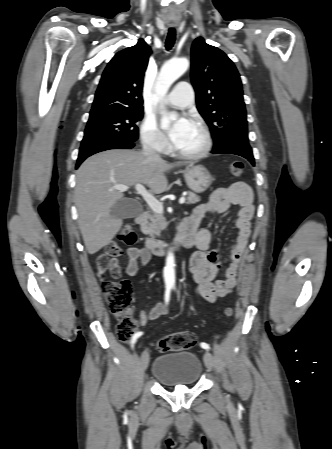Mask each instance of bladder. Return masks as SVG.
<instances>
[{"instance_id":"1","label":"bladder","mask_w":332,"mask_h":449,"mask_svg":"<svg viewBox=\"0 0 332 449\" xmlns=\"http://www.w3.org/2000/svg\"><path fill=\"white\" fill-rule=\"evenodd\" d=\"M202 371L201 361L195 353L178 351L156 357L152 377L165 387L193 386Z\"/></svg>"}]
</instances>
